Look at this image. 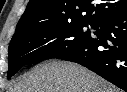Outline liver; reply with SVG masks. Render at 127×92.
Here are the masks:
<instances>
[{"label":"liver","instance_id":"1","mask_svg":"<svg viewBox=\"0 0 127 92\" xmlns=\"http://www.w3.org/2000/svg\"><path fill=\"white\" fill-rule=\"evenodd\" d=\"M9 92H120L92 71L66 61L35 66Z\"/></svg>","mask_w":127,"mask_h":92}]
</instances>
